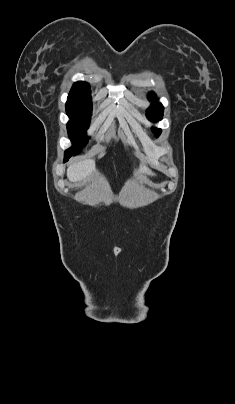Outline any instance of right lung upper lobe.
I'll return each mask as SVG.
<instances>
[{
	"label": "right lung upper lobe",
	"mask_w": 235,
	"mask_h": 404,
	"mask_svg": "<svg viewBox=\"0 0 235 404\" xmlns=\"http://www.w3.org/2000/svg\"><path fill=\"white\" fill-rule=\"evenodd\" d=\"M91 90L88 83L79 81L75 83L69 93L67 102L91 103Z\"/></svg>",
	"instance_id": "right-lung-upper-lobe-1"
}]
</instances>
